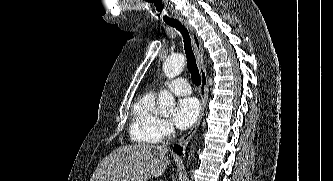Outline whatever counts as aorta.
Wrapping results in <instances>:
<instances>
[{"label": "aorta", "mask_w": 333, "mask_h": 181, "mask_svg": "<svg viewBox=\"0 0 333 181\" xmlns=\"http://www.w3.org/2000/svg\"><path fill=\"white\" fill-rule=\"evenodd\" d=\"M185 66V58L183 55L168 57L163 63V71L168 78L178 76ZM159 110L162 113H170L175 107L174 96L164 90L159 93L157 99Z\"/></svg>", "instance_id": "aorta-1"}]
</instances>
